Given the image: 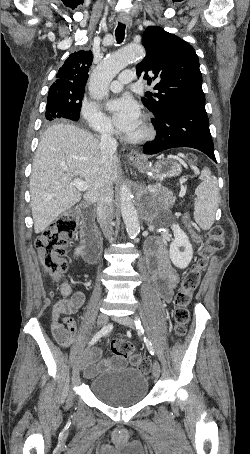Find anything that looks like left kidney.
<instances>
[{
  "label": "left kidney",
  "instance_id": "left-kidney-1",
  "mask_svg": "<svg viewBox=\"0 0 250 454\" xmlns=\"http://www.w3.org/2000/svg\"><path fill=\"white\" fill-rule=\"evenodd\" d=\"M174 240L170 244L169 255L172 263L180 268L185 269L193 258V248L186 233L178 224L171 226Z\"/></svg>",
  "mask_w": 250,
  "mask_h": 454
}]
</instances>
